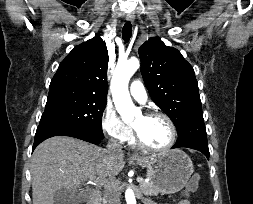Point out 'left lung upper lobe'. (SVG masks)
Instances as JSON below:
<instances>
[{"mask_svg": "<svg viewBox=\"0 0 253 204\" xmlns=\"http://www.w3.org/2000/svg\"><path fill=\"white\" fill-rule=\"evenodd\" d=\"M138 53L149 94L171 118L177 131L190 117L203 113L193 67L177 49L156 37L146 41Z\"/></svg>", "mask_w": 253, "mask_h": 204, "instance_id": "obj_1", "label": "left lung upper lobe"}]
</instances>
